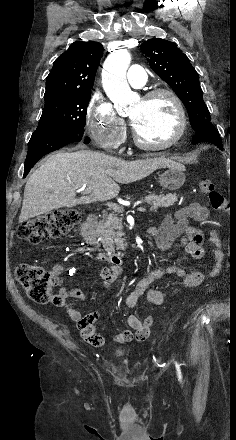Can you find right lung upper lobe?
<instances>
[{"mask_svg": "<svg viewBox=\"0 0 236 440\" xmlns=\"http://www.w3.org/2000/svg\"><path fill=\"white\" fill-rule=\"evenodd\" d=\"M103 55L102 44L73 42L54 62L46 78L45 103L90 93Z\"/></svg>", "mask_w": 236, "mask_h": 440, "instance_id": "1", "label": "right lung upper lobe"}]
</instances>
